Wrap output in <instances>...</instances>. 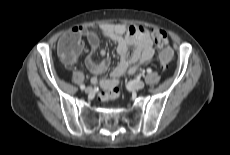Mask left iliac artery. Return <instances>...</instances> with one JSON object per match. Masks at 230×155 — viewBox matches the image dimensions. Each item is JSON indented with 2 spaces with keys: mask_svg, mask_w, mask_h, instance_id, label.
Masks as SVG:
<instances>
[{
  "mask_svg": "<svg viewBox=\"0 0 230 155\" xmlns=\"http://www.w3.org/2000/svg\"><path fill=\"white\" fill-rule=\"evenodd\" d=\"M147 72H148V73H151V69H147Z\"/></svg>",
  "mask_w": 230,
  "mask_h": 155,
  "instance_id": "left-iliac-artery-1",
  "label": "left iliac artery"
}]
</instances>
